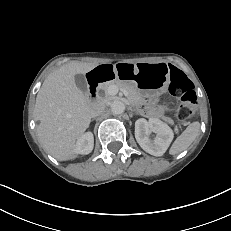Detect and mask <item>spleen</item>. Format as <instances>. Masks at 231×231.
Returning <instances> with one entry per match:
<instances>
[{
	"instance_id": "1",
	"label": "spleen",
	"mask_w": 231,
	"mask_h": 231,
	"mask_svg": "<svg viewBox=\"0 0 231 231\" xmlns=\"http://www.w3.org/2000/svg\"><path fill=\"white\" fill-rule=\"evenodd\" d=\"M200 131V123H191L186 130L176 138L172 146L169 149L171 155H176L187 149L193 141L197 138Z\"/></svg>"
}]
</instances>
